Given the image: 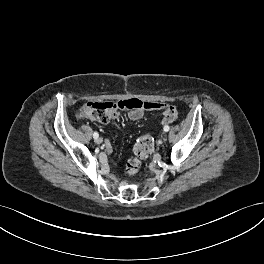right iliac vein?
Listing matches in <instances>:
<instances>
[{
	"label": "right iliac vein",
	"mask_w": 264,
	"mask_h": 264,
	"mask_svg": "<svg viewBox=\"0 0 264 264\" xmlns=\"http://www.w3.org/2000/svg\"><path fill=\"white\" fill-rule=\"evenodd\" d=\"M102 142H103V139L100 138V137H98V138L95 139V143L96 144H101Z\"/></svg>",
	"instance_id": "63e3f726"
}]
</instances>
